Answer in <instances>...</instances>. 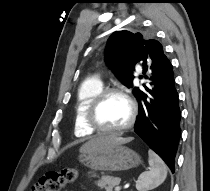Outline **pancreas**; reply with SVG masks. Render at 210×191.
Segmentation results:
<instances>
[{"label":"pancreas","instance_id":"obj_1","mask_svg":"<svg viewBox=\"0 0 210 191\" xmlns=\"http://www.w3.org/2000/svg\"><path fill=\"white\" fill-rule=\"evenodd\" d=\"M120 183V178L112 176H103L96 182L97 186L106 191H113V188Z\"/></svg>","mask_w":210,"mask_h":191}]
</instances>
